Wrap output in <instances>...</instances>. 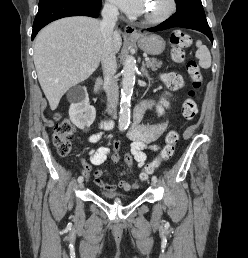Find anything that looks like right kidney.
Segmentation results:
<instances>
[{
    "label": "right kidney",
    "mask_w": 248,
    "mask_h": 258,
    "mask_svg": "<svg viewBox=\"0 0 248 258\" xmlns=\"http://www.w3.org/2000/svg\"><path fill=\"white\" fill-rule=\"evenodd\" d=\"M71 101L69 117L72 123L80 129L90 127L96 117V110L89 104L85 87H75L68 93Z\"/></svg>",
    "instance_id": "ca27d5eb"
}]
</instances>
